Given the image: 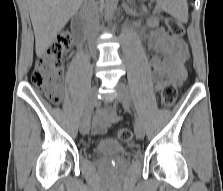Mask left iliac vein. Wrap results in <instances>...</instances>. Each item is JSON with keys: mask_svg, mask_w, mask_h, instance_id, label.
Segmentation results:
<instances>
[{"mask_svg": "<svg viewBox=\"0 0 223 191\" xmlns=\"http://www.w3.org/2000/svg\"><path fill=\"white\" fill-rule=\"evenodd\" d=\"M117 88H118L117 96H118L119 102L122 103L124 107L130 108L131 96L128 91V88L122 82L118 83ZM134 131H135V135L137 139L141 140L144 138V127L139 120H137L135 123Z\"/></svg>", "mask_w": 223, "mask_h": 191, "instance_id": "1", "label": "left iliac vein"}]
</instances>
